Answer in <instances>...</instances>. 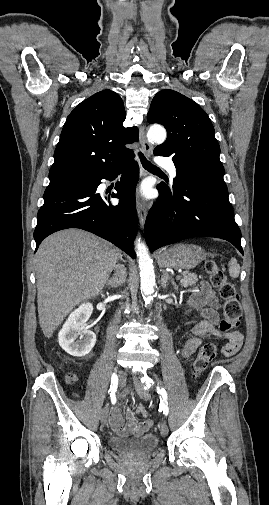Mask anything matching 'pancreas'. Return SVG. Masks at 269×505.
Returning a JSON list of instances; mask_svg holds the SVG:
<instances>
[{"instance_id": "cf45deb5", "label": "pancreas", "mask_w": 269, "mask_h": 505, "mask_svg": "<svg viewBox=\"0 0 269 505\" xmlns=\"http://www.w3.org/2000/svg\"><path fill=\"white\" fill-rule=\"evenodd\" d=\"M183 278L180 279V284L182 287L194 286L198 281L197 275L190 272H184Z\"/></svg>"}]
</instances>
